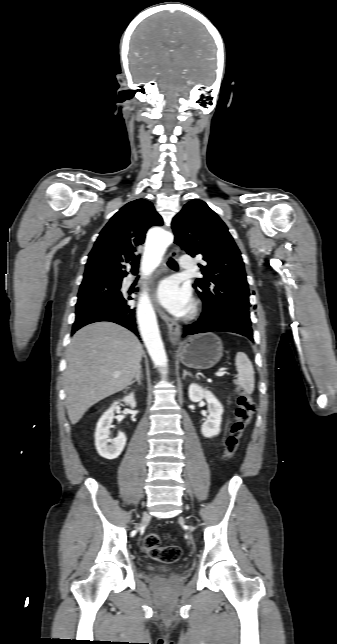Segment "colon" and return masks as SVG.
Returning <instances> with one entry per match:
<instances>
[{
	"instance_id": "1",
	"label": "colon",
	"mask_w": 337,
	"mask_h": 644,
	"mask_svg": "<svg viewBox=\"0 0 337 644\" xmlns=\"http://www.w3.org/2000/svg\"><path fill=\"white\" fill-rule=\"evenodd\" d=\"M255 402L252 397L243 390L238 391L237 408L235 419L225 441L223 457L231 459L237 451L240 438L247 424L255 412ZM146 553L153 559L171 564L177 562L181 557V548L177 545L160 546V536L152 532L146 535L143 542Z\"/></svg>"
}]
</instances>
